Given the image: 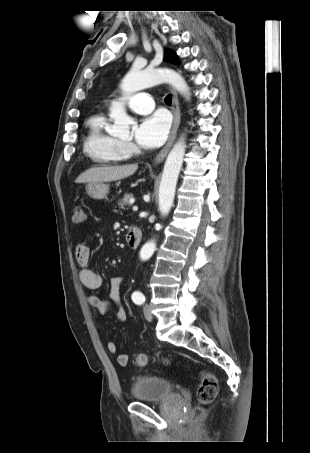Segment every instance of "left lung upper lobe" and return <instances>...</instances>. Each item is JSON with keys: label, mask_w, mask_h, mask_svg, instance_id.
Instances as JSON below:
<instances>
[{"label": "left lung upper lobe", "mask_w": 310, "mask_h": 453, "mask_svg": "<svg viewBox=\"0 0 310 453\" xmlns=\"http://www.w3.org/2000/svg\"><path fill=\"white\" fill-rule=\"evenodd\" d=\"M164 59L167 62H170V63H177L178 62L177 56L173 52H171L169 50L165 51Z\"/></svg>", "instance_id": "obj_1"}]
</instances>
